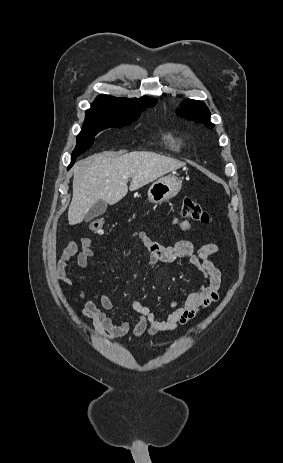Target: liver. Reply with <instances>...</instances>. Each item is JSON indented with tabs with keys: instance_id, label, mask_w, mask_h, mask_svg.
<instances>
[{
	"instance_id": "obj_1",
	"label": "liver",
	"mask_w": 283,
	"mask_h": 463,
	"mask_svg": "<svg viewBox=\"0 0 283 463\" xmlns=\"http://www.w3.org/2000/svg\"><path fill=\"white\" fill-rule=\"evenodd\" d=\"M185 165L182 161L148 151L123 155L104 152L89 156L73 169V197L68 222L70 225L81 223L99 200L110 205L120 201L128 193L129 177L132 178L129 190L135 191Z\"/></svg>"
}]
</instances>
